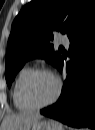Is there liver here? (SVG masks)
<instances>
[{
	"label": "liver",
	"mask_w": 95,
	"mask_h": 130,
	"mask_svg": "<svg viewBox=\"0 0 95 130\" xmlns=\"http://www.w3.org/2000/svg\"><path fill=\"white\" fill-rule=\"evenodd\" d=\"M41 115L33 112L8 114L4 119L6 130H30L33 124L41 119Z\"/></svg>",
	"instance_id": "1"
}]
</instances>
